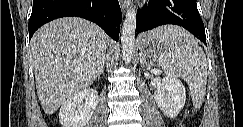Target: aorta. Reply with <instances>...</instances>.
I'll list each match as a JSON object with an SVG mask.
<instances>
[{
    "mask_svg": "<svg viewBox=\"0 0 243 127\" xmlns=\"http://www.w3.org/2000/svg\"><path fill=\"white\" fill-rule=\"evenodd\" d=\"M136 30V11L135 8L130 7L126 13L125 20L123 22L121 43L122 54L125 62L129 63L133 56L134 40Z\"/></svg>",
    "mask_w": 243,
    "mask_h": 127,
    "instance_id": "762f6f07",
    "label": "aorta"
}]
</instances>
